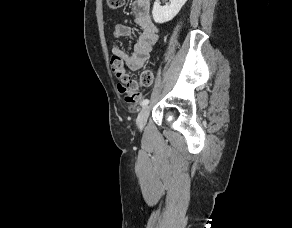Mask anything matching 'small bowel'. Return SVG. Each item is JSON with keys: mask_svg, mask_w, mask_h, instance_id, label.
<instances>
[{"mask_svg": "<svg viewBox=\"0 0 292 228\" xmlns=\"http://www.w3.org/2000/svg\"><path fill=\"white\" fill-rule=\"evenodd\" d=\"M132 12L134 22L140 28L133 51L127 53L122 47L115 46L112 48L111 60L119 61L124 69L137 71L143 67L158 40V28L150 15V0H134ZM113 33L117 38L130 37L132 29L129 25L119 23L114 26Z\"/></svg>", "mask_w": 292, "mask_h": 228, "instance_id": "1", "label": "small bowel"}]
</instances>
